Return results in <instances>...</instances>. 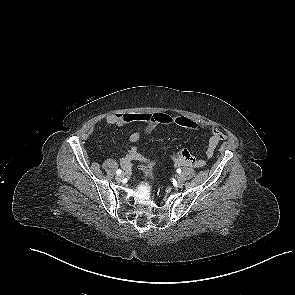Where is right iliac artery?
Wrapping results in <instances>:
<instances>
[{"mask_svg": "<svg viewBox=\"0 0 295 295\" xmlns=\"http://www.w3.org/2000/svg\"><path fill=\"white\" fill-rule=\"evenodd\" d=\"M116 173L119 175V174L122 173V170L118 169V170L116 171Z\"/></svg>", "mask_w": 295, "mask_h": 295, "instance_id": "82829eb1", "label": "right iliac artery"}]
</instances>
